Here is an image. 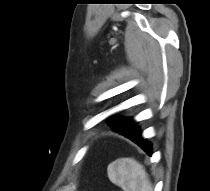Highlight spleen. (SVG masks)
Instances as JSON below:
<instances>
[{
    "instance_id": "obj_1",
    "label": "spleen",
    "mask_w": 210,
    "mask_h": 191,
    "mask_svg": "<svg viewBox=\"0 0 210 191\" xmlns=\"http://www.w3.org/2000/svg\"><path fill=\"white\" fill-rule=\"evenodd\" d=\"M109 180L124 191H153L144 167L133 158H119L107 168Z\"/></svg>"
}]
</instances>
